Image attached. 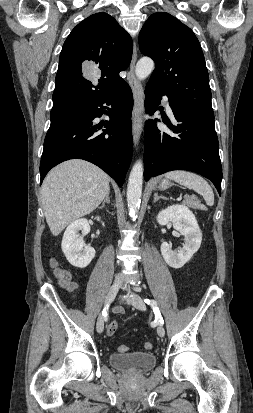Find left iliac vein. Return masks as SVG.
<instances>
[{
    "label": "left iliac vein",
    "mask_w": 253,
    "mask_h": 413,
    "mask_svg": "<svg viewBox=\"0 0 253 413\" xmlns=\"http://www.w3.org/2000/svg\"><path fill=\"white\" fill-rule=\"evenodd\" d=\"M124 289L128 292V300L129 302L138 310H145L146 309V305L143 302V300L141 299L140 296L134 294L131 292L130 287L127 285H124ZM157 334L160 337H164L165 335V330L164 327L161 324H158L157 326Z\"/></svg>",
    "instance_id": "obj_1"
}]
</instances>
